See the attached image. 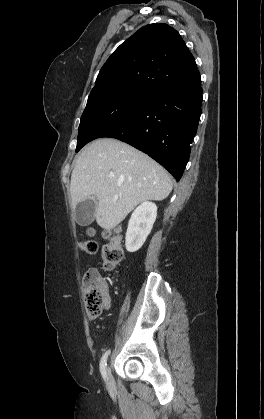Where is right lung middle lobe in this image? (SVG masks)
I'll return each mask as SVG.
<instances>
[{
  "instance_id": "1",
  "label": "right lung middle lobe",
  "mask_w": 264,
  "mask_h": 419,
  "mask_svg": "<svg viewBox=\"0 0 264 419\" xmlns=\"http://www.w3.org/2000/svg\"><path fill=\"white\" fill-rule=\"evenodd\" d=\"M152 94L131 85H112L91 91L81 116L76 152L127 119Z\"/></svg>"
}]
</instances>
